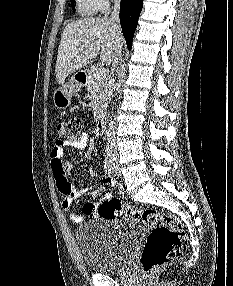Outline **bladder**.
<instances>
[{"instance_id":"31cf9c89","label":"bladder","mask_w":233,"mask_h":286,"mask_svg":"<svg viewBox=\"0 0 233 286\" xmlns=\"http://www.w3.org/2000/svg\"><path fill=\"white\" fill-rule=\"evenodd\" d=\"M145 229L136 218L108 219L82 225L75 239L88 270L109 273L126 267Z\"/></svg>"}]
</instances>
